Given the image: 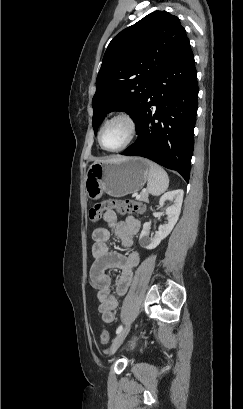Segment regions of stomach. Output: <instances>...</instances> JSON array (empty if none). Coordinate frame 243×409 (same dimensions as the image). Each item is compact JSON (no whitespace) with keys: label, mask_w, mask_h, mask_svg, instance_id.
Returning a JSON list of instances; mask_svg holds the SVG:
<instances>
[{"label":"stomach","mask_w":243,"mask_h":409,"mask_svg":"<svg viewBox=\"0 0 243 409\" xmlns=\"http://www.w3.org/2000/svg\"><path fill=\"white\" fill-rule=\"evenodd\" d=\"M148 163L137 157H118L90 165L85 177L88 198L98 200L104 193L123 197L138 192L149 177Z\"/></svg>","instance_id":"0dacf381"}]
</instances>
